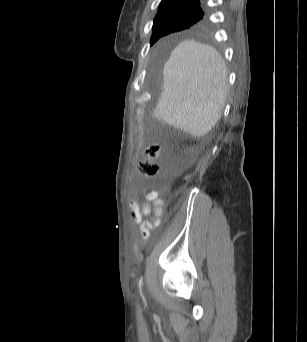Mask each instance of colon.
I'll return each mask as SVG.
<instances>
[{
  "label": "colon",
  "instance_id": "colon-1",
  "mask_svg": "<svg viewBox=\"0 0 307 342\" xmlns=\"http://www.w3.org/2000/svg\"><path fill=\"white\" fill-rule=\"evenodd\" d=\"M160 146L158 144H150L146 147L144 157L140 161L139 173L147 178H153L160 172V165L154 161L160 155Z\"/></svg>",
  "mask_w": 307,
  "mask_h": 342
}]
</instances>
